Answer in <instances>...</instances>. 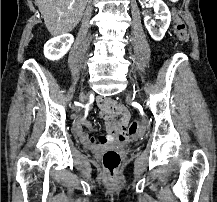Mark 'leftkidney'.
Wrapping results in <instances>:
<instances>
[{"label":"left kidney","instance_id":"left-kidney-1","mask_svg":"<svg viewBox=\"0 0 217 202\" xmlns=\"http://www.w3.org/2000/svg\"><path fill=\"white\" fill-rule=\"evenodd\" d=\"M140 4H143V2H147V0H139ZM154 2V12L155 14H159V16H157L158 20H160V22H158L157 26H158V30L157 28H153V26H155V24H153L150 16H145L144 18V24L151 36V38H153V40H155V42H160V40H162V38H164L169 26H170V22H171V14L166 6V4H164V2H162V0H153Z\"/></svg>","mask_w":217,"mask_h":202}]
</instances>
